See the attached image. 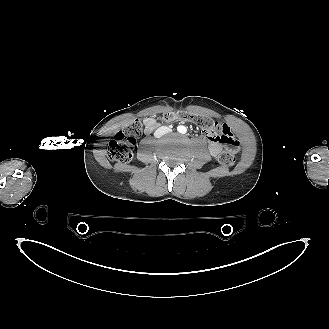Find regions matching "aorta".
<instances>
[{"instance_id":"1","label":"aorta","mask_w":329,"mask_h":329,"mask_svg":"<svg viewBox=\"0 0 329 329\" xmlns=\"http://www.w3.org/2000/svg\"><path fill=\"white\" fill-rule=\"evenodd\" d=\"M180 133H186V128L184 126H181V128L179 129Z\"/></svg>"}]
</instances>
